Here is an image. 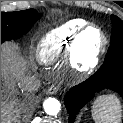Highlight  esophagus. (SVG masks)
I'll return each mask as SVG.
<instances>
[{
    "label": "esophagus",
    "mask_w": 123,
    "mask_h": 123,
    "mask_svg": "<svg viewBox=\"0 0 123 123\" xmlns=\"http://www.w3.org/2000/svg\"><path fill=\"white\" fill-rule=\"evenodd\" d=\"M58 86L56 84H53L51 86L48 87V89L46 90V94L47 95H55L58 93Z\"/></svg>",
    "instance_id": "34e87169"
}]
</instances>
